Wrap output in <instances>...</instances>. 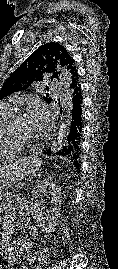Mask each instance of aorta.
<instances>
[{
    "mask_svg": "<svg viewBox=\"0 0 118 269\" xmlns=\"http://www.w3.org/2000/svg\"><path fill=\"white\" fill-rule=\"evenodd\" d=\"M60 81L65 89V96H64V104H65V113L62 115L61 121L58 126V130L56 133V137L52 143L51 151L55 153L60 146L62 145L63 138L66 134L67 124H68V117H69V99H70V84H71V77L69 73L65 69H61Z\"/></svg>",
    "mask_w": 118,
    "mask_h": 269,
    "instance_id": "aorta-1",
    "label": "aorta"
}]
</instances>
